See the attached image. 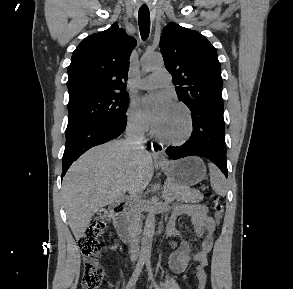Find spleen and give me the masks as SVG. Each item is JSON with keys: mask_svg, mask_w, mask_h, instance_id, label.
Here are the masks:
<instances>
[{"mask_svg": "<svg viewBox=\"0 0 293 289\" xmlns=\"http://www.w3.org/2000/svg\"><path fill=\"white\" fill-rule=\"evenodd\" d=\"M210 183L212 189L220 196H225L227 193L226 179L220 170L213 164H209Z\"/></svg>", "mask_w": 293, "mask_h": 289, "instance_id": "3e777b00", "label": "spleen"}]
</instances>
